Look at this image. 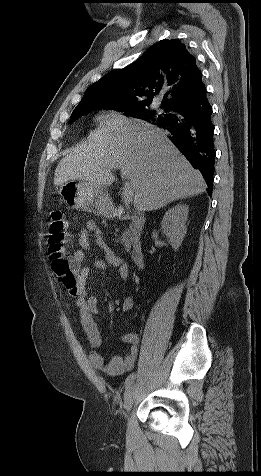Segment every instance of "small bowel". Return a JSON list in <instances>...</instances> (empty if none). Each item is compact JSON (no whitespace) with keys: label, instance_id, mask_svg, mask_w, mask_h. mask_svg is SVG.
Listing matches in <instances>:
<instances>
[{"label":"small bowel","instance_id":"1","mask_svg":"<svg viewBox=\"0 0 261 476\" xmlns=\"http://www.w3.org/2000/svg\"><path fill=\"white\" fill-rule=\"evenodd\" d=\"M91 235H93L95 243L104 252L102 258L95 260L94 267L99 270L114 268L117 270L120 279L124 282H127L130 278L128 264L107 245L103 233L96 222L87 220L85 228L78 234L80 249L76 250L71 258V262L77 272V286L75 290H68V292L76 298L80 323L92 347V351L89 354L91 365L108 376L116 377L133 369L139 354V336L132 330H127L123 334L122 340L129 346L123 357L114 356L106 362L98 352V349L103 345V338L95 321V316L98 314V298L94 295L88 296L86 294L85 285L90 267L82 266L86 258V252L91 248ZM132 307L133 298L128 294L121 303V310L127 312Z\"/></svg>","mask_w":261,"mask_h":476}]
</instances>
